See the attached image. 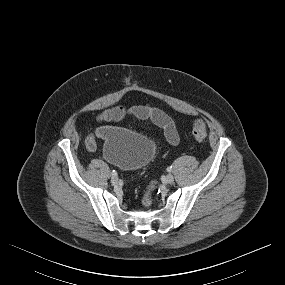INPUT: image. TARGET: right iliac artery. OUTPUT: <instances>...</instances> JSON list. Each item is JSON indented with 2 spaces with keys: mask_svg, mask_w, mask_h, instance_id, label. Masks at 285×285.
<instances>
[{
  "mask_svg": "<svg viewBox=\"0 0 285 285\" xmlns=\"http://www.w3.org/2000/svg\"><path fill=\"white\" fill-rule=\"evenodd\" d=\"M112 176H117V172L115 170L112 171Z\"/></svg>",
  "mask_w": 285,
  "mask_h": 285,
  "instance_id": "obj_1",
  "label": "right iliac artery"
}]
</instances>
